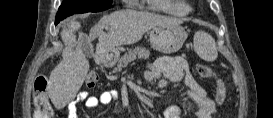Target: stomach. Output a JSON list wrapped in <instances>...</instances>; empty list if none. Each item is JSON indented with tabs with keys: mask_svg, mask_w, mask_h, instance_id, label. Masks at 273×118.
<instances>
[{
	"mask_svg": "<svg viewBox=\"0 0 273 118\" xmlns=\"http://www.w3.org/2000/svg\"><path fill=\"white\" fill-rule=\"evenodd\" d=\"M186 38L187 33L179 24L158 25L153 27L150 31L151 46L164 54L178 51L184 44ZM115 58V56L107 58L106 64L112 66Z\"/></svg>",
	"mask_w": 273,
	"mask_h": 118,
	"instance_id": "0dacf381",
	"label": "stomach"
}]
</instances>
